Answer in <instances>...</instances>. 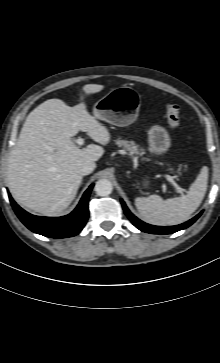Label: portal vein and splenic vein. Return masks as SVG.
Listing matches in <instances>:
<instances>
[{
  "label": "portal vein and splenic vein",
  "mask_w": 220,
  "mask_h": 363,
  "mask_svg": "<svg viewBox=\"0 0 220 363\" xmlns=\"http://www.w3.org/2000/svg\"><path fill=\"white\" fill-rule=\"evenodd\" d=\"M76 143L78 144V145H83L84 144V139L83 138H78L77 140H76ZM165 177H166V179L171 183V185L174 187V190L177 192V193H182L183 192V190H182V188H180L178 185H177V183L173 180V178H172V176H169V175H165Z\"/></svg>",
  "instance_id": "obj_1"
}]
</instances>
